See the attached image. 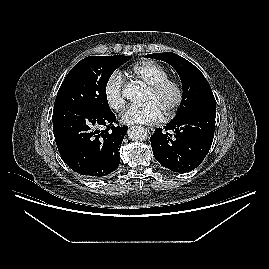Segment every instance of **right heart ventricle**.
I'll return each instance as SVG.
<instances>
[{
    "label": "right heart ventricle",
    "mask_w": 269,
    "mask_h": 269,
    "mask_svg": "<svg viewBox=\"0 0 269 269\" xmlns=\"http://www.w3.org/2000/svg\"><path fill=\"white\" fill-rule=\"evenodd\" d=\"M130 74L134 79L139 80L148 86H151L170 75L168 69L164 66L151 61L134 65L130 70Z\"/></svg>",
    "instance_id": "right-heart-ventricle-1"
}]
</instances>
